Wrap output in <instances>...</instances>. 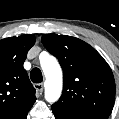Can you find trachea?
<instances>
[{
	"instance_id": "3493384b",
	"label": "trachea",
	"mask_w": 119,
	"mask_h": 119,
	"mask_svg": "<svg viewBox=\"0 0 119 119\" xmlns=\"http://www.w3.org/2000/svg\"><path fill=\"white\" fill-rule=\"evenodd\" d=\"M30 78L34 83H41L43 81L41 70L39 68H33L30 72Z\"/></svg>"
}]
</instances>
